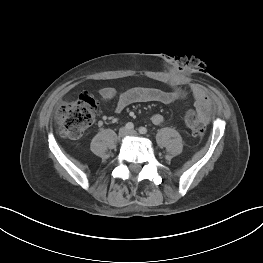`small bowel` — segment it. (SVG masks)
Instances as JSON below:
<instances>
[{
  "label": "small bowel",
  "instance_id": "1",
  "mask_svg": "<svg viewBox=\"0 0 263 263\" xmlns=\"http://www.w3.org/2000/svg\"><path fill=\"white\" fill-rule=\"evenodd\" d=\"M190 89L194 97V105L199 117L203 121H208L211 116V101L205 90L198 84H191ZM99 95L103 100H111L116 97L117 92L112 87H104L99 90ZM179 99L177 89L165 91L152 87H134L129 88L118 95L116 112H122L126 107L134 103L158 102L170 104ZM151 121L155 125H161L164 122V116L160 113L153 114Z\"/></svg>",
  "mask_w": 263,
  "mask_h": 263
}]
</instances>
